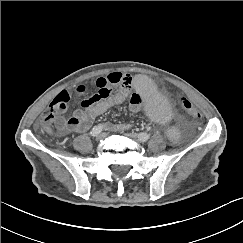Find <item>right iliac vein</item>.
I'll use <instances>...</instances> for the list:
<instances>
[{
	"label": "right iliac vein",
	"mask_w": 243,
	"mask_h": 243,
	"mask_svg": "<svg viewBox=\"0 0 243 243\" xmlns=\"http://www.w3.org/2000/svg\"><path fill=\"white\" fill-rule=\"evenodd\" d=\"M106 137L105 133H100L96 136V141H101Z\"/></svg>",
	"instance_id": "63e3f726"
}]
</instances>
